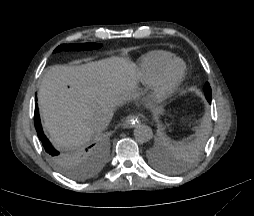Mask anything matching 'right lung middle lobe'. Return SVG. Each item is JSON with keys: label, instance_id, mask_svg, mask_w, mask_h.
Instances as JSON below:
<instances>
[{"label": "right lung middle lobe", "instance_id": "right-lung-middle-lobe-1", "mask_svg": "<svg viewBox=\"0 0 254 216\" xmlns=\"http://www.w3.org/2000/svg\"><path fill=\"white\" fill-rule=\"evenodd\" d=\"M102 45L96 43H85V44H63L58 46L54 52L64 51H81V50H92L98 49ZM52 163L65 175L73 178H81V175L74 166V160L68 155H62L59 157L49 156Z\"/></svg>", "mask_w": 254, "mask_h": 216}]
</instances>
